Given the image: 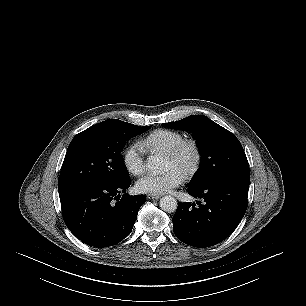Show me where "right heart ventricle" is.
Instances as JSON below:
<instances>
[{
  "label": "right heart ventricle",
  "instance_id": "right-heart-ventricle-1",
  "mask_svg": "<svg viewBox=\"0 0 306 306\" xmlns=\"http://www.w3.org/2000/svg\"><path fill=\"white\" fill-rule=\"evenodd\" d=\"M184 139V135L178 131L159 129L144 137L140 144L150 152L166 153Z\"/></svg>",
  "mask_w": 306,
  "mask_h": 306
}]
</instances>
